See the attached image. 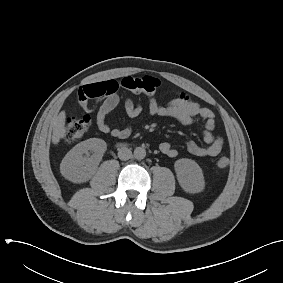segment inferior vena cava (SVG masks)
Wrapping results in <instances>:
<instances>
[{"instance_id":"1","label":"inferior vena cava","mask_w":283,"mask_h":283,"mask_svg":"<svg viewBox=\"0 0 283 283\" xmlns=\"http://www.w3.org/2000/svg\"><path fill=\"white\" fill-rule=\"evenodd\" d=\"M118 157L120 160L126 161L132 157V152L126 147H122L118 151Z\"/></svg>"}]
</instances>
